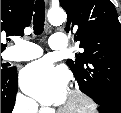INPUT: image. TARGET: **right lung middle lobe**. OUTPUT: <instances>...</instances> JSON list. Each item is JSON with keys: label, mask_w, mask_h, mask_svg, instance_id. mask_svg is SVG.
<instances>
[{"label": "right lung middle lobe", "mask_w": 121, "mask_h": 113, "mask_svg": "<svg viewBox=\"0 0 121 113\" xmlns=\"http://www.w3.org/2000/svg\"><path fill=\"white\" fill-rule=\"evenodd\" d=\"M8 71V69L6 68V66H4L3 64H1V74H4Z\"/></svg>", "instance_id": "right-lung-middle-lobe-1"}]
</instances>
